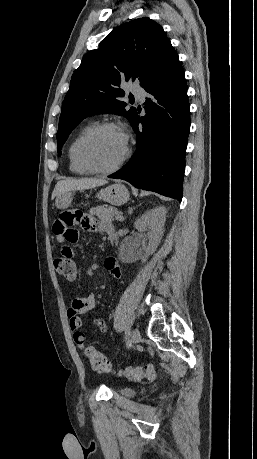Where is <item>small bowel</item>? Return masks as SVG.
<instances>
[{"mask_svg":"<svg viewBox=\"0 0 257 459\" xmlns=\"http://www.w3.org/2000/svg\"><path fill=\"white\" fill-rule=\"evenodd\" d=\"M75 226H84L88 230L106 234L108 231L115 232L114 227L108 222L101 221L100 217H88V212L83 211L81 205H65L64 211H59L58 217L53 220L52 227L55 230V235L58 236V240L62 242V258H67L68 261H79L81 258L77 249H73V247H77L78 241L81 239V234ZM104 266L114 279L119 280L121 278L122 272L115 258H106ZM95 306L96 296L90 292L83 297L74 298L67 310L69 327L73 332V340L82 351H85L87 346L85 344L86 333L82 330L83 321L81 316L91 312ZM94 327L102 332H107L108 330L105 320L101 318L94 321Z\"/></svg>","mask_w":257,"mask_h":459,"instance_id":"small-bowel-1","label":"small bowel"}]
</instances>
